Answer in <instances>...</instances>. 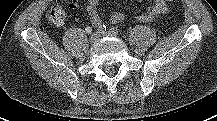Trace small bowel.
Returning <instances> with one entry per match:
<instances>
[{"mask_svg":"<svg viewBox=\"0 0 217 121\" xmlns=\"http://www.w3.org/2000/svg\"><path fill=\"white\" fill-rule=\"evenodd\" d=\"M101 0H88L86 10L88 12L90 21L94 27H101L102 20L98 14L97 7ZM70 7H77V2L72 1ZM168 11V7L164 0H153V5L149 11L137 16V20L141 22H151L157 16L165 14ZM125 19V15L122 12H115L112 14L110 21L114 24L120 23Z\"/></svg>","mask_w":217,"mask_h":121,"instance_id":"c3829d8e","label":"small bowel"}]
</instances>
